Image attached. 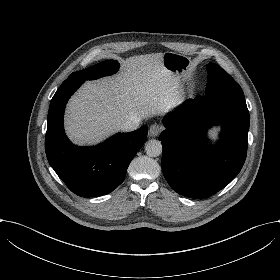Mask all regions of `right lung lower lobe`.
I'll use <instances>...</instances> for the list:
<instances>
[{"label": "right lung lower lobe", "instance_id": "98d812e1", "mask_svg": "<svg viewBox=\"0 0 280 280\" xmlns=\"http://www.w3.org/2000/svg\"><path fill=\"white\" fill-rule=\"evenodd\" d=\"M84 81L66 79L53 96L45 150L49 164L72 192L96 197L112 192L123 182L128 165L147 137L148 127L116 134L94 147L73 145L64 132L63 114L68 99Z\"/></svg>", "mask_w": 280, "mask_h": 280}]
</instances>
